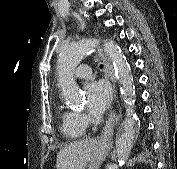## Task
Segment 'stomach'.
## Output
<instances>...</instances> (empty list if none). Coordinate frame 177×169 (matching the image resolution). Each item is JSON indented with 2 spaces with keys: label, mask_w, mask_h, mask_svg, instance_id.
<instances>
[{
  "label": "stomach",
  "mask_w": 177,
  "mask_h": 169,
  "mask_svg": "<svg viewBox=\"0 0 177 169\" xmlns=\"http://www.w3.org/2000/svg\"><path fill=\"white\" fill-rule=\"evenodd\" d=\"M109 150V144L106 142H99L97 148L94 150L87 169H99L102 162L105 160Z\"/></svg>",
  "instance_id": "0dacf381"
}]
</instances>
